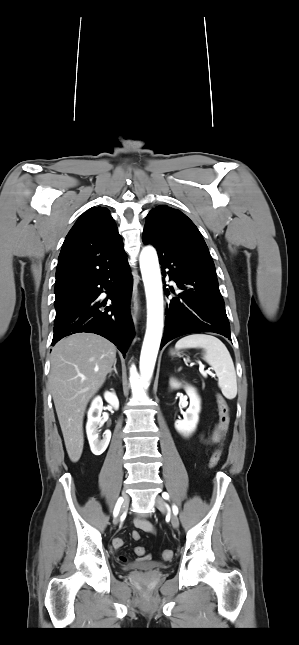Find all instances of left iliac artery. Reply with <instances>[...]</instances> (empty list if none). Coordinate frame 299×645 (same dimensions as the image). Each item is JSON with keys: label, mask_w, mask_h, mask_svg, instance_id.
I'll return each instance as SVG.
<instances>
[{"label": "left iliac artery", "mask_w": 299, "mask_h": 645, "mask_svg": "<svg viewBox=\"0 0 299 645\" xmlns=\"http://www.w3.org/2000/svg\"><path fill=\"white\" fill-rule=\"evenodd\" d=\"M162 496H163V498H164V499L169 500V495H168V493L164 492V493L162 494ZM172 509H173V513H174V514H177V513H178V508H177V506L173 505V506H172Z\"/></svg>", "instance_id": "left-iliac-artery-1"}]
</instances>
